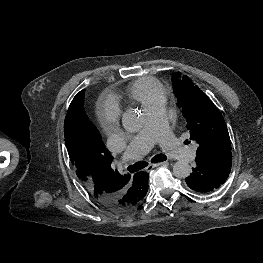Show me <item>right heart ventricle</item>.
<instances>
[{"label":"right heart ventricle","mask_w":263,"mask_h":263,"mask_svg":"<svg viewBox=\"0 0 263 263\" xmlns=\"http://www.w3.org/2000/svg\"><path fill=\"white\" fill-rule=\"evenodd\" d=\"M127 96L131 101L140 104L144 109L164 99L165 89L154 78H140L133 81L127 88Z\"/></svg>","instance_id":"right-heart-ventricle-1"}]
</instances>
